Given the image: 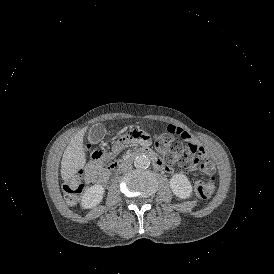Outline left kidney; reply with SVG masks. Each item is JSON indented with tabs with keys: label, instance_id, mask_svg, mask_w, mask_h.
Masks as SVG:
<instances>
[{
	"label": "left kidney",
	"instance_id": "5707ae66",
	"mask_svg": "<svg viewBox=\"0 0 274 274\" xmlns=\"http://www.w3.org/2000/svg\"><path fill=\"white\" fill-rule=\"evenodd\" d=\"M172 191L180 198H188L192 193L189 180L183 175H174L170 180Z\"/></svg>",
	"mask_w": 274,
	"mask_h": 274
}]
</instances>
